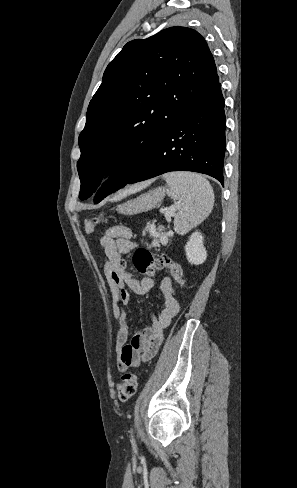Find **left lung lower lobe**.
<instances>
[{
	"instance_id": "left-lung-lower-lobe-1",
	"label": "left lung lower lobe",
	"mask_w": 297,
	"mask_h": 488,
	"mask_svg": "<svg viewBox=\"0 0 297 488\" xmlns=\"http://www.w3.org/2000/svg\"><path fill=\"white\" fill-rule=\"evenodd\" d=\"M224 105L221 84L218 83L170 129L127 184L184 170L210 175L223 185Z\"/></svg>"
}]
</instances>
